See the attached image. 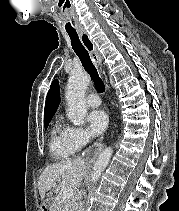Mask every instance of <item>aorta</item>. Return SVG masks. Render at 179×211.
<instances>
[{"instance_id": "1", "label": "aorta", "mask_w": 179, "mask_h": 211, "mask_svg": "<svg viewBox=\"0 0 179 211\" xmlns=\"http://www.w3.org/2000/svg\"><path fill=\"white\" fill-rule=\"evenodd\" d=\"M90 83V76L84 72H73L68 79L65 97L68 103L67 116L69 120L77 126L84 124L87 105L85 101V93ZM112 148H106L100 153L94 163L91 173V181L96 182L102 172L107 167L111 155Z\"/></svg>"}]
</instances>
